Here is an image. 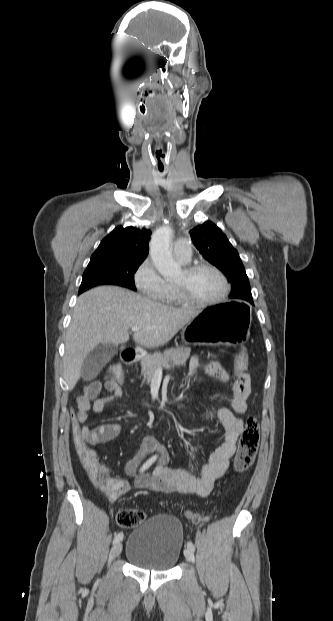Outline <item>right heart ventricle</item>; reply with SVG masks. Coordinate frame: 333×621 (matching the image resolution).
Returning <instances> with one entry per match:
<instances>
[{"instance_id":"1","label":"right heart ventricle","mask_w":333,"mask_h":621,"mask_svg":"<svg viewBox=\"0 0 333 621\" xmlns=\"http://www.w3.org/2000/svg\"><path fill=\"white\" fill-rule=\"evenodd\" d=\"M159 300L167 305H178L183 303L175 291L174 284L170 282H166L165 291Z\"/></svg>"}]
</instances>
